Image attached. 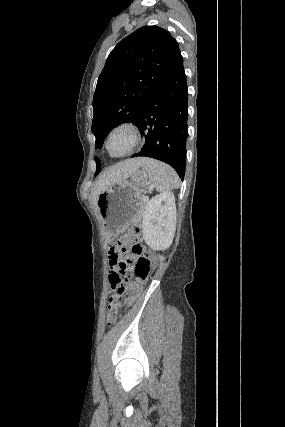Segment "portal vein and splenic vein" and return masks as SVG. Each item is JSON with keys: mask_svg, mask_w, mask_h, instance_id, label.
I'll list each match as a JSON object with an SVG mask.
<instances>
[{"mask_svg": "<svg viewBox=\"0 0 285 427\" xmlns=\"http://www.w3.org/2000/svg\"><path fill=\"white\" fill-rule=\"evenodd\" d=\"M142 199H143V200H147V199H148V197H147L146 195H143V196H142Z\"/></svg>", "mask_w": 285, "mask_h": 427, "instance_id": "1", "label": "portal vein and splenic vein"}]
</instances>
